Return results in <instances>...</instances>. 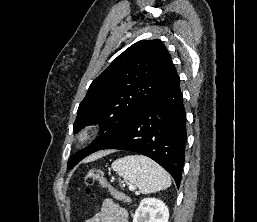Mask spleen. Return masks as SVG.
<instances>
[{"label":"spleen","instance_id":"3e777b00","mask_svg":"<svg viewBox=\"0 0 257 222\" xmlns=\"http://www.w3.org/2000/svg\"><path fill=\"white\" fill-rule=\"evenodd\" d=\"M112 169L148 194L170 187L171 178L157 163L143 155H128L112 163Z\"/></svg>","mask_w":257,"mask_h":222}]
</instances>
